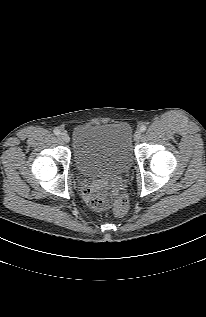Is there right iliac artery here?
I'll return each mask as SVG.
<instances>
[{"instance_id":"obj_1","label":"right iliac artery","mask_w":206,"mask_h":317,"mask_svg":"<svg viewBox=\"0 0 206 317\" xmlns=\"http://www.w3.org/2000/svg\"><path fill=\"white\" fill-rule=\"evenodd\" d=\"M54 134H55V135H60V130L55 129V130H54Z\"/></svg>"}]
</instances>
